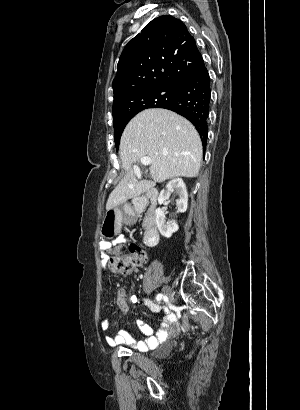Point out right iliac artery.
I'll use <instances>...</instances> for the list:
<instances>
[{"mask_svg": "<svg viewBox=\"0 0 300 410\" xmlns=\"http://www.w3.org/2000/svg\"><path fill=\"white\" fill-rule=\"evenodd\" d=\"M162 298H164V296H163V294H161V293H159V294L156 296V300H157V301H160Z\"/></svg>", "mask_w": 300, "mask_h": 410, "instance_id": "82829eb1", "label": "right iliac artery"}]
</instances>
